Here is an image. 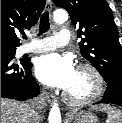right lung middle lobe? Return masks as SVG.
<instances>
[{
    "label": "right lung middle lobe",
    "mask_w": 122,
    "mask_h": 123,
    "mask_svg": "<svg viewBox=\"0 0 122 123\" xmlns=\"http://www.w3.org/2000/svg\"><path fill=\"white\" fill-rule=\"evenodd\" d=\"M1 50H4L7 53H9L10 55L15 56L16 49H1Z\"/></svg>",
    "instance_id": "dd1d6c3e"
}]
</instances>
